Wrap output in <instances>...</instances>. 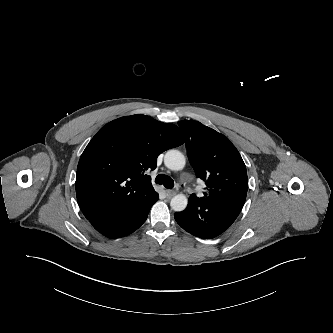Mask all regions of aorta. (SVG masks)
I'll return each mask as SVG.
<instances>
[{"label": "aorta", "mask_w": 333, "mask_h": 333, "mask_svg": "<svg viewBox=\"0 0 333 333\" xmlns=\"http://www.w3.org/2000/svg\"><path fill=\"white\" fill-rule=\"evenodd\" d=\"M185 163V156L178 150H169L165 154L164 164L171 170H182ZM187 203L188 199L184 194H177L171 199L170 206L174 211L180 212L187 207Z\"/></svg>", "instance_id": "762f6f07"}]
</instances>
